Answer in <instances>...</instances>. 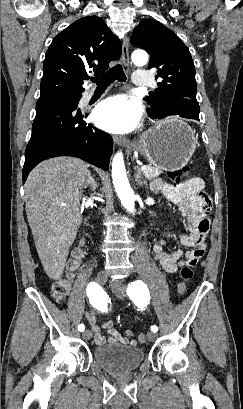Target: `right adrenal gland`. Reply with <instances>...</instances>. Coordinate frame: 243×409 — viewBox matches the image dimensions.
<instances>
[{"instance_id":"right-adrenal-gland-1","label":"right adrenal gland","mask_w":243,"mask_h":409,"mask_svg":"<svg viewBox=\"0 0 243 409\" xmlns=\"http://www.w3.org/2000/svg\"><path fill=\"white\" fill-rule=\"evenodd\" d=\"M97 187H98L97 181H96V180L94 179V177L90 174V176H89V178H88V180H87V182H86V184H85V186H84V189L90 188V190H91L92 192H95V190L97 189Z\"/></svg>"}]
</instances>
